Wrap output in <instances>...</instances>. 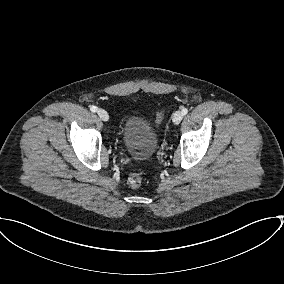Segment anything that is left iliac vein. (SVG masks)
Masks as SVG:
<instances>
[{"label":"left iliac vein","instance_id":"1","mask_svg":"<svg viewBox=\"0 0 284 284\" xmlns=\"http://www.w3.org/2000/svg\"><path fill=\"white\" fill-rule=\"evenodd\" d=\"M183 119V114L181 111H176L173 115V122L174 124H179Z\"/></svg>","mask_w":284,"mask_h":284}]
</instances>
